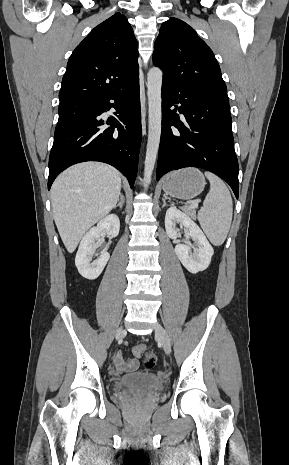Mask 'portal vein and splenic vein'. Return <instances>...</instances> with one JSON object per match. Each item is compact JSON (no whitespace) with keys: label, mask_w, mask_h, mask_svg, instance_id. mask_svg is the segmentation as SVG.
<instances>
[{"label":"portal vein and splenic vein","mask_w":289,"mask_h":465,"mask_svg":"<svg viewBox=\"0 0 289 465\" xmlns=\"http://www.w3.org/2000/svg\"><path fill=\"white\" fill-rule=\"evenodd\" d=\"M190 208H191V209H196V208H198V202H193V203L190 205Z\"/></svg>","instance_id":"1"}]
</instances>
